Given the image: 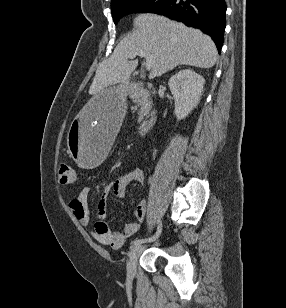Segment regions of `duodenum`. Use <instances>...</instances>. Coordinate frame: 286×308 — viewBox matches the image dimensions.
I'll use <instances>...</instances> for the list:
<instances>
[{
	"mask_svg": "<svg viewBox=\"0 0 286 308\" xmlns=\"http://www.w3.org/2000/svg\"><path fill=\"white\" fill-rule=\"evenodd\" d=\"M156 119V111H153L148 118L143 120L139 125V132L145 134Z\"/></svg>",
	"mask_w": 286,
	"mask_h": 308,
	"instance_id": "duodenum-1",
	"label": "duodenum"
}]
</instances>
